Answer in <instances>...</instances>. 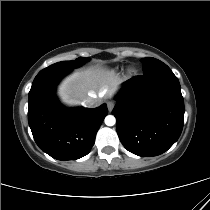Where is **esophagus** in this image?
<instances>
[{
  "instance_id": "esophagus-1",
  "label": "esophagus",
  "mask_w": 210,
  "mask_h": 210,
  "mask_svg": "<svg viewBox=\"0 0 210 210\" xmlns=\"http://www.w3.org/2000/svg\"><path fill=\"white\" fill-rule=\"evenodd\" d=\"M115 106V102L114 101H108L107 102V107H108V110L109 111H112V109L114 108Z\"/></svg>"
}]
</instances>
